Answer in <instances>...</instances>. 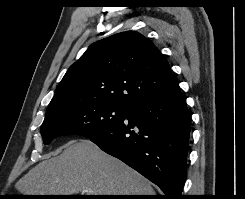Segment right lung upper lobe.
Instances as JSON below:
<instances>
[{"instance_id": "1", "label": "right lung upper lobe", "mask_w": 245, "mask_h": 199, "mask_svg": "<svg viewBox=\"0 0 245 199\" xmlns=\"http://www.w3.org/2000/svg\"><path fill=\"white\" fill-rule=\"evenodd\" d=\"M178 85L158 48L143 35L127 31L97 41L70 66L46 116L88 103L131 107L163 96Z\"/></svg>"}]
</instances>
